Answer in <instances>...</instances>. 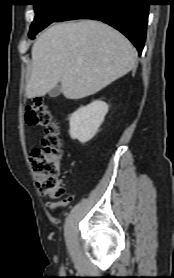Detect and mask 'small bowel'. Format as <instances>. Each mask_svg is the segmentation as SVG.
<instances>
[{"mask_svg": "<svg viewBox=\"0 0 174 278\" xmlns=\"http://www.w3.org/2000/svg\"><path fill=\"white\" fill-rule=\"evenodd\" d=\"M63 204H64V203H62V202H55V203H49L48 206H49V208H51V209H56V208L60 207V206L63 205Z\"/></svg>", "mask_w": 174, "mask_h": 278, "instance_id": "c3829d8e", "label": "small bowel"}]
</instances>
